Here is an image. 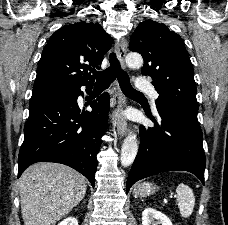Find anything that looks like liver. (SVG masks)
Returning <instances> with one entry per match:
<instances>
[{
  "mask_svg": "<svg viewBox=\"0 0 228 225\" xmlns=\"http://www.w3.org/2000/svg\"><path fill=\"white\" fill-rule=\"evenodd\" d=\"M20 187L24 225H56L86 193V179L56 163H37L24 171Z\"/></svg>",
  "mask_w": 228,
  "mask_h": 225,
  "instance_id": "1",
  "label": "liver"
}]
</instances>
